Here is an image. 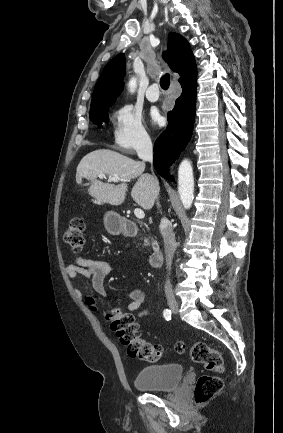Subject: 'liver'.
Masks as SVG:
<instances>
[{
    "mask_svg": "<svg viewBox=\"0 0 283 433\" xmlns=\"http://www.w3.org/2000/svg\"><path fill=\"white\" fill-rule=\"evenodd\" d=\"M76 180L81 184L82 178L91 180V186L88 188L89 194L93 196L92 202L95 204H122L126 198L128 190V180L137 178L132 190L131 196L139 206L149 210L152 208L155 198L158 194L157 188L150 174L144 172L145 162L133 160L129 156H124L115 150L108 148H99L81 158L77 168ZM98 174H108V176H120V184L113 182H101L97 180Z\"/></svg>",
    "mask_w": 283,
    "mask_h": 433,
    "instance_id": "obj_1",
    "label": "liver"
}]
</instances>
